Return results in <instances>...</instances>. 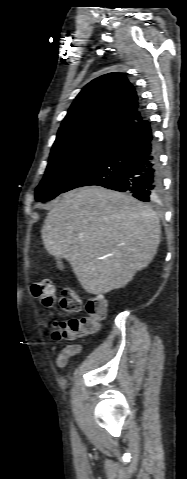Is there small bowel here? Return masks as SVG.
I'll return each mask as SVG.
<instances>
[{
  "label": "small bowel",
  "mask_w": 187,
  "mask_h": 479,
  "mask_svg": "<svg viewBox=\"0 0 187 479\" xmlns=\"http://www.w3.org/2000/svg\"><path fill=\"white\" fill-rule=\"evenodd\" d=\"M58 322L54 323L57 326ZM83 349L78 344H66L63 346L60 351L56 354L54 348L52 349L53 354L55 355V362L59 368H65L70 358L76 357L82 353Z\"/></svg>",
  "instance_id": "1"
}]
</instances>
